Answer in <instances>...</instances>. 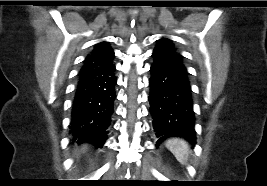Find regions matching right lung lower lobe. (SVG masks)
Returning a JSON list of instances; mask_svg holds the SVG:
<instances>
[{
    "mask_svg": "<svg viewBox=\"0 0 267 186\" xmlns=\"http://www.w3.org/2000/svg\"><path fill=\"white\" fill-rule=\"evenodd\" d=\"M115 65L80 70L71 108L70 134L78 142H94L102 147L116 98Z\"/></svg>",
    "mask_w": 267,
    "mask_h": 186,
    "instance_id": "1",
    "label": "right lung lower lobe"
}]
</instances>
